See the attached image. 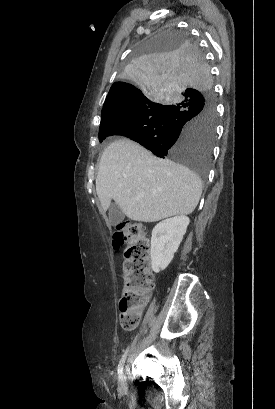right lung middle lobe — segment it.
<instances>
[{
    "label": "right lung middle lobe",
    "mask_w": 275,
    "mask_h": 409,
    "mask_svg": "<svg viewBox=\"0 0 275 409\" xmlns=\"http://www.w3.org/2000/svg\"><path fill=\"white\" fill-rule=\"evenodd\" d=\"M127 56L121 66L125 85L146 92L102 112L99 141L126 136L160 158L190 167L206 182L215 107L211 75L198 42L184 32L160 30Z\"/></svg>",
    "instance_id": "right-lung-middle-lobe-1"
}]
</instances>
